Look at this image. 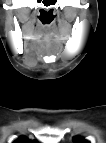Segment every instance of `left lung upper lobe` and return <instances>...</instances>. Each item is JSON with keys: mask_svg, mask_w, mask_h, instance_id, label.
<instances>
[{"mask_svg": "<svg viewBox=\"0 0 106 143\" xmlns=\"http://www.w3.org/2000/svg\"><path fill=\"white\" fill-rule=\"evenodd\" d=\"M73 141H74V143H89L88 140H85L84 138L79 137V136H75L73 138Z\"/></svg>", "mask_w": 106, "mask_h": 143, "instance_id": "5c2ea615", "label": "left lung upper lobe"}]
</instances>
